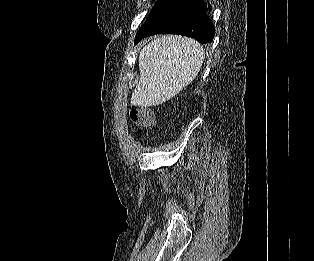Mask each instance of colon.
I'll use <instances>...</instances> for the list:
<instances>
[{
  "label": "colon",
  "mask_w": 314,
  "mask_h": 261,
  "mask_svg": "<svg viewBox=\"0 0 314 261\" xmlns=\"http://www.w3.org/2000/svg\"><path fill=\"white\" fill-rule=\"evenodd\" d=\"M129 115L130 119L141 128H150L155 123L154 113L147 107L132 109Z\"/></svg>",
  "instance_id": "colon-1"
}]
</instances>
